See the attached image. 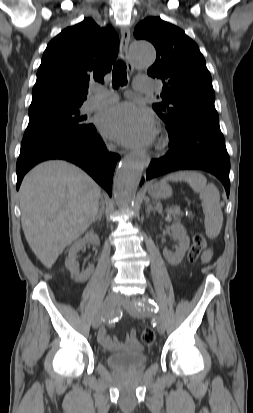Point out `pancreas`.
Returning a JSON list of instances; mask_svg holds the SVG:
<instances>
[{"label":"pancreas","instance_id":"cf45deb5","mask_svg":"<svg viewBox=\"0 0 253 413\" xmlns=\"http://www.w3.org/2000/svg\"><path fill=\"white\" fill-rule=\"evenodd\" d=\"M168 214L170 216H173L176 220H179L180 217V211L178 210V208H174V209H168Z\"/></svg>","mask_w":253,"mask_h":413}]
</instances>
